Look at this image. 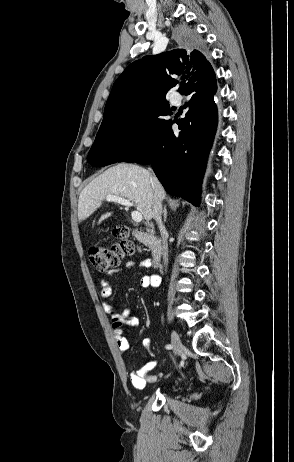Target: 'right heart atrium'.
<instances>
[{"mask_svg": "<svg viewBox=\"0 0 294 462\" xmlns=\"http://www.w3.org/2000/svg\"><path fill=\"white\" fill-rule=\"evenodd\" d=\"M147 118L144 115L137 116L129 128V136L132 140L140 139L147 127Z\"/></svg>", "mask_w": 294, "mask_h": 462, "instance_id": "right-heart-atrium-1", "label": "right heart atrium"}]
</instances>
